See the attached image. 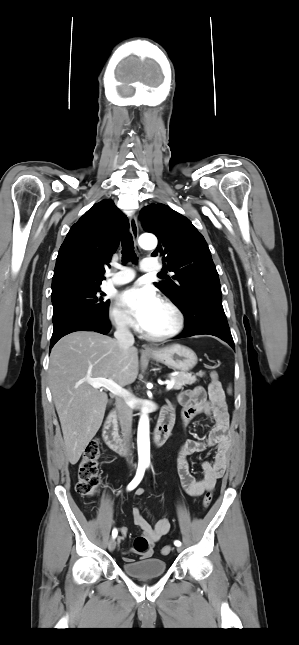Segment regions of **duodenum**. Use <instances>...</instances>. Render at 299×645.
I'll return each instance as SVG.
<instances>
[{
    "label": "duodenum",
    "instance_id": "duodenum-1",
    "mask_svg": "<svg viewBox=\"0 0 299 645\" xmlns=\"http://www.w3.org/2000/svg\"><path fill=\"white\" fill-rule=\"evenodd\" d=\"M174 424V417L169 411L168 407H165L158 421V425L154 432V442L157 446L163 445L172 430ZM103 438L105 443L115 452L119 454H125L126 448L122 438L119 435L117 428V414L116 411H112L104 424L103 428Z\"/></svg>",
    "mask_w": 299,
    "mask_h": 645
}]
</instances>
